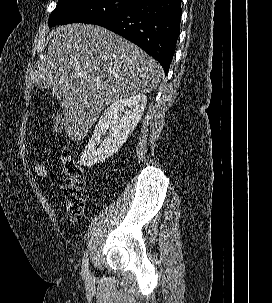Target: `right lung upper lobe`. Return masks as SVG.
Returning <instances> with one entry per match:
<instances>
[{
    "label": "right lung upper lobe",
    "mask_w": 272,
    "mask_h": 303,
    "mask_svg": "<svg viewBox=\"0 0 272 303\" xmlns=\"http://www.w3.org/2000/svg\"><path fill=\"white\" fill-rule=\"evenodd\" d=\"M136 2H139V1H141V0H135Z\"/></svg>",
    "instance_id": "obj_1"
}]
</instances>
